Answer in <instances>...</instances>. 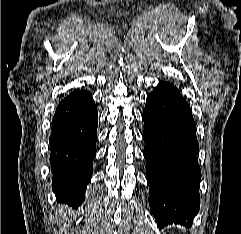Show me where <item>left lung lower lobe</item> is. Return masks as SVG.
I'll use <instances>...</instances> for the list:
<instances>
[{"mask_svg": "<svg viewBox=\"0 0 241 234\" xmlns=\"http://www.w3.org/2000/svg\"><path fill=\"white\" fill-rule=\"evenodd\" d=\"M149 205L159 227L190 226L200 208L199 144L191 109L171 83L160 82L143 111Z\"/></svg>", "mask_w": 241, "mask_h": 234, "instance_id": "left-lung-lower-lobe-1", "label": "left lung lower lobe"}]
</instances>
